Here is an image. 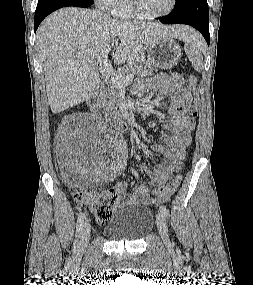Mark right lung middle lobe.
<instances>
[{"mask_svg": "<svg viewBox=\"0 0 253 285\" xmlns=\"http://www.w3.org/2000/svg\"><path fill=\"white\" fill-rule=\"evenodd\" d=\"M74 1H80V2H86V3H91L93 4V0H74Z\"/></svg>", "mask_w": 253, "mask_h": 285, "instance_id": "dd1d6c3e", "label": "right lung middle lobe"}]
</instances>
